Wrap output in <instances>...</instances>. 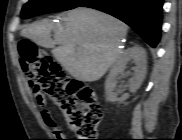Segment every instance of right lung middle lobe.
I'll list each match as a JSON object with an SVG mask.
<instances>
[{
	"instance_id": "obj_1",
	"label": "right lung middle lobe",
	"mask_w": 182,
	"mask_h": 140,
	"mask_svg": "<svg viewBox=\"0 0 182 140\" xmlns=\"http://www.w3.org/2000/svg\"><path fill=\"white\" fill-rule=\"evenodd\" d=\"M86 0H29L21 12V17L27 19L41 14L66 11L79 7Z\"/></svg>"
}]
</instances>
